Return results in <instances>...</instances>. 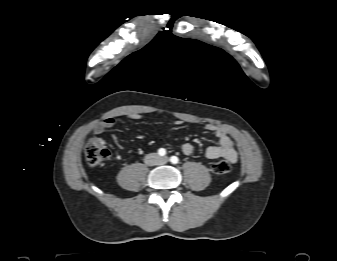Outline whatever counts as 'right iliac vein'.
I'll return each instance as SVG.
<instances>
[{
	"label": "right iliac vein",
	"instance_id": "63e3f726",
	"mask_svg": "<svg viewBox=\"0 0 337 261\" xmlns=\"http://www.w3.org/2000/svg\"><path fill=\"white\" fill-rule=\"evenodd\" d=\"M147 161L148 163L150 164H154L157 162V157L156 155L152 154V155H149L148 158H147Z\"/></svg>",
	"mask_w": 337,
	"mask_h": 261
}]
</instances>
